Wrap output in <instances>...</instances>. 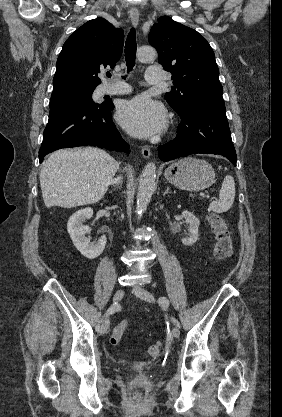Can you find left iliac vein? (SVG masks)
<instances>
[{"instance_id": "1", "label": "left iliac vein", "mask_w": 282, "mask_h": 417, "mask_svg": "<svg viewBox=\"0 0 282 417\" xmlns=\"http://www.w3.org/2000/svg\"><path fill=\"white\" fill-rule=\"evenodd\" d=\"M133 293L137 296V297H139V298H141L142 300H144V301H147V302H150V303H152V302H154L155 301V298H154V296L150 293V292H148V291H146V290H144L143 288H141V287H134L133 288ZM172 335L175 337V338H178L179 336H180V331H179V329L177 328V327H174L173 328V330H172Z\"/></svg>"}]
</instances>
